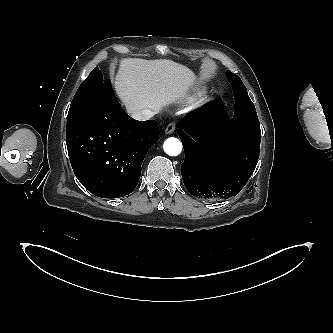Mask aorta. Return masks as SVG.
<instances>
[{
	"label": "aorta",
	"mask_w": 333,
	"mask_h": 333,
	"mask_svg": "<svg viewBox=\"0 0 333 333\" xmlns=\"http://www.w3.org/2000/svg\"><path fill=\"white\" fill-rule=\"evenodd\" d=\"M163 148L166 154L177 156L181 153L182 144L177 138L170 137L165 140Z\"/></svg>",
	"instance_id": "1"
}]
</instances>
